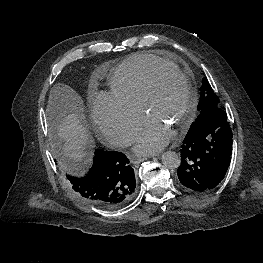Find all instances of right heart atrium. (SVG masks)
Here are the masks:
<instances>
[{
	"label": "right heart atrium",
	"mask_w": 263,
	"mask_h": 263,
	"mask_svg": "<svg viewBox=\"0 0 263 263\" xmlns=\"http://www.w3.org/2000/svg\"><path fill=\"white\" fill-rule=\"evenodd\" d=\"M92 115L100 134L121 147L132 142L142 121L139 108L120 101L110 93H101L95 98Z\"/></svg>",
	"instance_id": "obj_1"
}]
</instances>
